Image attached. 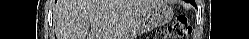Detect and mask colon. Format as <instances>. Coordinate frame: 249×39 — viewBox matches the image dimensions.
<instances>
[{
  "label": "colon",
  "mask_w": 249,
  "mask_h": 39,
  "mask_svg": "<svg viewBox=\"0 0 249 39\" xmlns=\"http://www.w3.org/2000/svg\"><path fill=\"white\" fill-rule=\"evenodd\" d=\"M192 34V26L187 14H180L176 20L163 29L156 39H186Z\"/></svg>",
  "instance_id": "5ec220e1"
}]
</instances>
